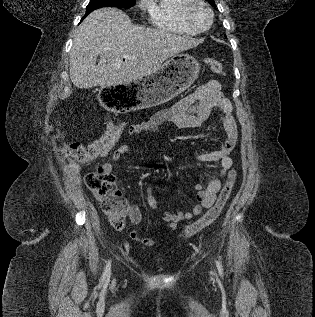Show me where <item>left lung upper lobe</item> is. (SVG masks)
Instances as JSON below:
<instances>
[{"label": "left lung upper lobe", "instance_id": "1", "mask_svg": "<svg viewBox=\"0 0 315 317\" xmlns=\"http://www.w3.org/2000/svg\"><path fill=\"white\" fill-rule=\"evenodd\" d=\"M212 6H214L215 7V2H214V0H207Z\"/></svg>", "mask_w": 315, "mask_h": 317}]
</instances>
